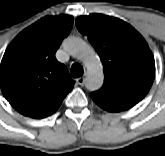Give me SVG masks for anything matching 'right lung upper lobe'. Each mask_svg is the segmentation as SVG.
Instances as JSON below:
<instances>
[{
	"mask_svg": "<svg viewBox=\"0 0 165 156\" xmlns=\"http://www.w3.org/2000/svg\"><path fill=\"white\" fill-rule=\"evenodd\" d=\"M73 21L70 15L46 16L7 47L0 65V86L7 101L24 116H50L72 90L74 80L55 53Z\"/></svg>",
	"mask_w": 165,
	"mask_h": 156,
	"instance_id": "obj_1",
	"label": "right lung upper lobe"
}]
</instances>
